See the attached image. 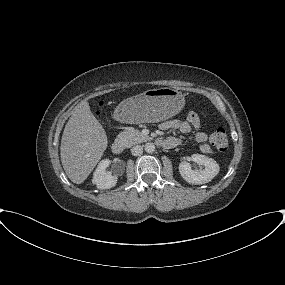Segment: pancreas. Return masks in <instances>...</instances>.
Listing matches in <instances>:
<instances>
[{
  "mask_svg": "<svg viewBox=\"0 0 285 285\" xmlns=\"http://www.w3.org/2000/svg\"><path fill=\"white\" fill-rule=\"evenodd\" d=\"M118 136L121 140L124 141L127 147H130L134 144H138L140 142H143L149 139L148 136H145L139 130H136L132 127L126 128Z\"/></svg>",
  "mask_w": 285,
  "mask_h": 285,
  "instance_id": "pancreas-1",
  "label": "pancreas"
}]
</instances>
